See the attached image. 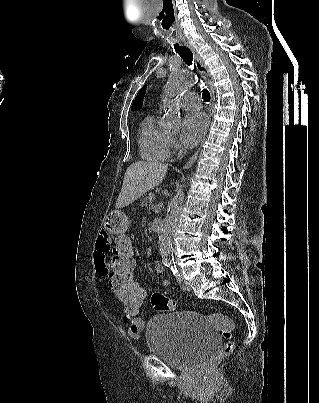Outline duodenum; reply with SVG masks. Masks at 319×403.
I'll list each match as a JSON object with an SVG mask.
<instances>
[{"label": "duodenum", "mask_w": 319, "mask_h": 403, "mask_svg": "<svg viewBox=\"0 0 319 403\" xmlns=\"http://www.w3.org/2000/svg\"><path fill=\"white\" fill-rule=\"evenodd\" d=\"M152 229L155 232H159L162 229V221L160 219H154L152 221Z\"/></svg>", "instance_id": "1"}]
</instances>
